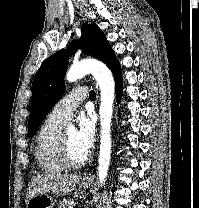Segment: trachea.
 I'll return each mask as SVG.
<instances>
[{"label": "trachea", "instance_id": "obj_1", "mask_svg": "<svg viewBox=\"0 0 199 208\" xmlns=\"http://www.w3.org/2000/svg\"><path fill=\"white\" fill-rule=\"evenodd\" d=\"M89 98L92 99V100H94V99L96 98V93H95L94 90H91V91L89 92Z\"/></svg>", "mask_w": 199, "mask_h": 208}]
</instances>
